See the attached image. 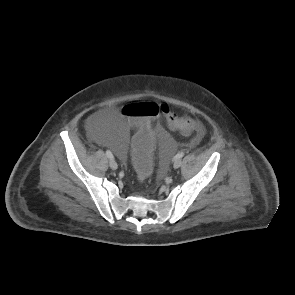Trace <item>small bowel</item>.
Masks as SVG:
<instances>
[{
  "mask_svg": "<svg viewBox=\"0 0 295 295\" xmlns=\"http://www.w3.org/2000/svg\"><path fill=\"white\" fill-rule=\"evenodd\" d=\"M116 115H117V113H116ZM197 123H198V125H199V130H198L197 133H196V138H197V139H200V138L202 137L204 131H203V127H202V125H201L198 121H197ZM127 128H129V127H127ZM152 128L154 129V126H152Z\"/></svg>",
  "mask_w": 295,
  "mask_h": 295,
  "instance_id": "small-bowel-1",
  "label": "small bowel"
}]
</instances>
